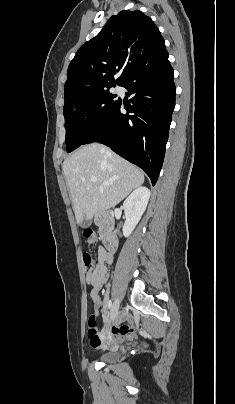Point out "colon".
<instances>
[{"mask_svg":"<svg viewBox=\"0 0 235 404\" xmlns=\"http://www.w3.org/2000/svg\"><path fill=\"white\" fill-rule=\"evenodd\" d=\"M85 237L90 243H93L97 240V236L95 232L91 229L85 231ZM84 268L87 272H91L95 266V258L89 251H84L82 254ZM88 327L89 329L95 333L97 328V317L95 314L90 315L88 319Z\"/></svg>","mask_w":235,"mask_h":404,"instance_id":"colon-1","label":"colon"}]
</instances>
